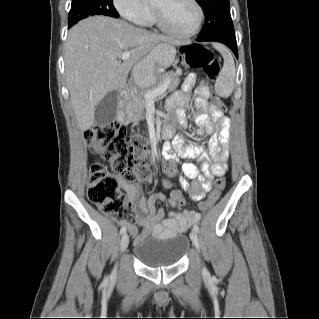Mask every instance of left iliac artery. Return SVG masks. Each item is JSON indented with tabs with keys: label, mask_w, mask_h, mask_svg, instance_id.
Listing matches in <instances>:
<instances>
[{
	"label": "left iliac artery",
	"mask_w": 319,
	"mask_h": 319,
	"mask_svg": "<svg viewBox=\"0 0 319 319\" xmlns=\"http://www.w3.org/2000/svg\"><path fill=\"white\" fill-rule=\"evenodd\" d=\"M193 229H194V231H195V232H198V231H199V227H198V225H197V224H195V225H194V227H193Z\"/></svg>",
	"instance_id": "44dca946"
}]
</instances>
